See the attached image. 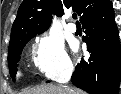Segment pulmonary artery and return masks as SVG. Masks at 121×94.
Instances as JSON below:
<instances>
[{
    "label": "pulmonary artery",
    "instance_id": "obj_1",
    "mask_svg": "<svg viewBox=\"0 0 121 94\" xmlns=\"http://www.w3.org/2000/svg\"><path fill=\"white\" fill-rule=\"evenodd\" d=\"M67 27H68V30L70 32H76V30H77L76 25L74 23H72V22H69L68 25H67Z\"/></svg>",
    "mask_w": 121,
    "mask_h": 94
}]
</instances>
